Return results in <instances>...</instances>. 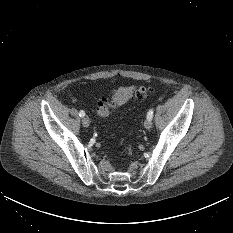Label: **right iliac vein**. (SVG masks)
Masks as SVG:
<instances>
[{
  "instance_id": "obj_1",
  "label": "right iliac vein",
  "mask_w": 233,
  "mask_h": 233,
  "mask_svg": "<svg viewBox=\"0 0 233 233\" xmlns=\"http://www.w3.org/2000/svg\"><path fill=\"white\" fill-rule=\"evenodd\" d=\"M89 124H90L89 119H88L87 117H83V118H82V125H83L84 127H88Z\"/></svg>"
}]
</instances>
